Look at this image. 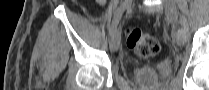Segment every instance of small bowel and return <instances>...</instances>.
I'll use <instances>...</instances> for the list:
<instances>
[{"label":"small bowel","instance_id":"obj_1","mask_svg":"<svg viewBox=\"0 0 209 90\" xmlns=\"http://www.w3.org/2000/svg\"><path fill=\"white\" fill-rule=\"evenodd\" d=\"M98 2H99V4H102V5H104L106 3V1H104V0H99Z\"/></svg>","mask_w":209,"mask_h":90}]
</instances>
